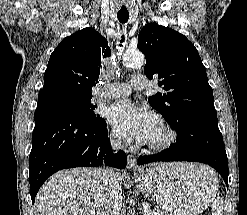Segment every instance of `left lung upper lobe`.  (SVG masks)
<instances>
[{"label": "left lung upper lobe", "instance_id": "obj_1", "mask_svg": "<svg viewBox=\"0 0 247 215\" xmlns=\"http://www.w3.org/2000/svg\"><path fill=\"white\" fill-rule=\"evenodd\" d=\"M138 48L146 57L144 73L150 79L158 76V86L165 90L148 101L176 132L199 122L218 123L206 69L184 35L147 24L138 35Z\"/></svg>", "mask_w": 247, "mask_h": 215}]
</instances>
